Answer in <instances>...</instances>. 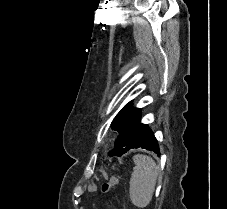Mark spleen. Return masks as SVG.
Instances as JSON below:
<instances>
[{"mask_svg":"<svg viewBox=\"0 0 227 209\" xmlns=\"http://www.w3.org/2000/svg\"><path fill=\"white\" fill-rule=\"evenodd\" d=\"M133 161L135 167H133L129 183V197L135 207L144 209L152 201L158 177V167L153 159L147 155H135Z\"/></svg>","mask_w":227,"mask_h":209,"instance_id":"spleen-1","label":"spleen"}]
</instances>
